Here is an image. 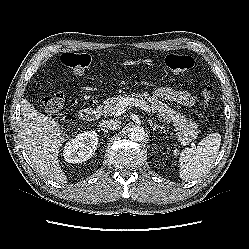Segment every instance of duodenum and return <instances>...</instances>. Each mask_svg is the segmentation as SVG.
Listing matches in <instances>:
<instances>
[{"label":"duodenum","instance_id":"duodenum-1","mask_svg":"<svg viewBox=\"0 0 249 249\" xmlns=\"http://www.w3.org/2000/svg\"><path fill=\"white\" fill-rule=\"evenodd\" d=\"M80 117L83 121H94L99 117V111L96 107H87L81 110Z\"/></svg>","mask_w":249,"mask_h":249}]
</instances>
